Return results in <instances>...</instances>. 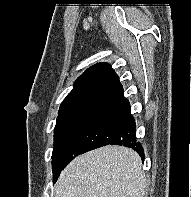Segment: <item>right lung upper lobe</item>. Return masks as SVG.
I'll use <instances>...</instances> for the list:
<instances>
[{
	"label": "right lung upper lobe",
	"mask_w": 191,
	"mask_h": 197,
	"mask_svg": "<svg viewBox=\"0 0 191 197\" xmlns=\"http://www.w3.org/2000/svg\"><path fill=\"white\" fill-rule=\"evenodd\" d=\"M119 87L121 84L112 67L108 63H97L75 81L73 89L63 100L59 113L93 108Z\"/></svg>",
	"instance_id": "obj_1"
}]
</instances>
